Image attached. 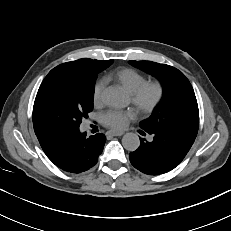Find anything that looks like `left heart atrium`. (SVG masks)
<instances>
[{
    "label": "left heart atrium",
    "instance_id": "obj_1",
    "mask_svg": "<svg viewBox=\"0 0 231 231\" xmlns=\"http://www.w3.org/2000/svg\"><path fill=\"white\" fill-rule=\"evenodd\" d=\"M131 111L109 110L102 116V122L105 126L113 130L124 129L133 119Z\"/></svg>",
    "mask_w": 231,
    "mask_h": 231
}]
</instances>
